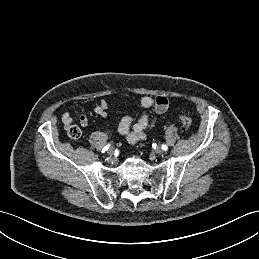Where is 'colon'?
Instances as JSON below:
<instances>
[{
    "instance_id": "obj_1",
    "label": "colon",
    "mask_w": 259,
    "mask_h": 259,
    "mask_svg": "<svg viewBox=\"0 0 259 259\" xmlns=\"http://www.w3.org/2000/svg\"><path fill=\"white\" fill-rule=\"evenodd\" d=\"M178 124L182 129L189 130L192 125V119L186 114H181L178 117ZM66 132L71 139H78L81 136V129L74 124L68 125Z\"/></svg>"
}]
</instances>
